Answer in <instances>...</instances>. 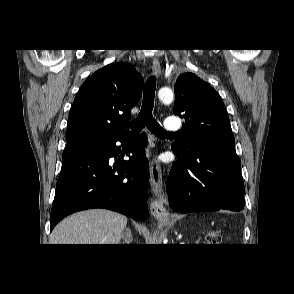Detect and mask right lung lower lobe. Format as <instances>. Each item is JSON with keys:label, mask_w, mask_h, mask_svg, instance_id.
Returning <instances> with one entry per match:
<instances>
[{"label": "right lung lower lobe", "mask_w": 294, "mask_h": 294, "mask_svg": "<svg viewBox=\"0 0 294 294\" xmlns=\"http://www.w3.org/2000/svg\"><path fill=\"white\" fill-rule=\"evenodd\" d=\"M129 132V131H128ZM128 132L65 149L50 216V231L67 215L91 208L117 211L134 219L149 217V165L144 156L146 136L127 152L129 161L112 166L109 159L125 145ZM118 174H115V171Z\"/></svg>", "instance_id": "98d812e1"}]
</instances>
